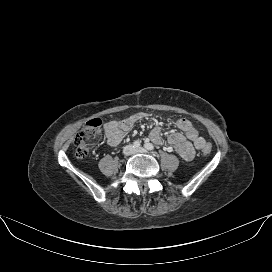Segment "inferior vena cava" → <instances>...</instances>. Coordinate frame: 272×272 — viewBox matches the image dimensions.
<instances>
[{"instance_id": "obj_1", "label": "inferior vena cava", "mask_w": 272, "mask_h": 272, "mask_svg": "<svg viewBox=\"0 0 272 272\" xmlns=\"http://www.w3.org/2000/svg\"><path fill=\"white\" fill-rule=\"evenodd\" d=\"M123 153L125 155H129L133 153V150H131V145H127L126 147H124Z\"/></svg>"}]
</instances>
